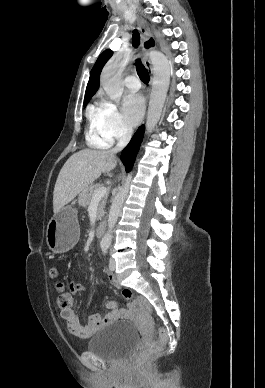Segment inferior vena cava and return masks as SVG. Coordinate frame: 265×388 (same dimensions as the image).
Instances as JSON below:
<instances>
[{
  "label": "inferior vena cava",
  "mask_w": 265,
  "mask_h": 388,
  "mask_svg": "<svg viewBox=\"0 0 265 388\" xmlns=\"http://www.w3.org/2000/svg\"><path fill=\"white\" fill-rule=\"evenodd\" d=\"M132 128L131 126H127L124 130V134H122L117 146L115 148H112V150H109V152H112V154H117V152H121L125 146H127L128 142L131 140L132 136Z\"/></svg>",
  "instance_id": "inferior-vena-cava-1"
}]
</instances>
